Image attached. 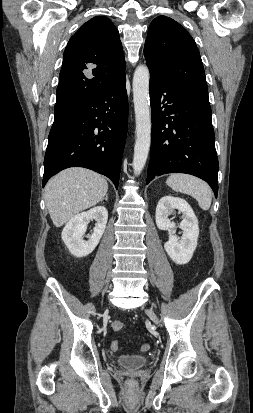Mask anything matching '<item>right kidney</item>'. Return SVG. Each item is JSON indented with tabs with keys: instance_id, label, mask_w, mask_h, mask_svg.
I'll return each mask as SVG.
<instances>
[{
	"instance_id": "ca27d5eb",
	"label": "right kidney",
	"mask_w": 253,
	"mask_h": 413,
	"mask_svg": "<svg viewBox=\"0 0 253 413\" xmlns=\"http://www.w3.org/2000/svg\"><path fill=\"white\" fill-rule=\"evenodd\" d=\"M94 219L96 225L88 241L83 239L88 223ZM108 212L104 206L94 207L75 215L64 227L61 237L70 253L75 257H85L93 252L106 228Z\"/></svg>"
}]
</instances>
